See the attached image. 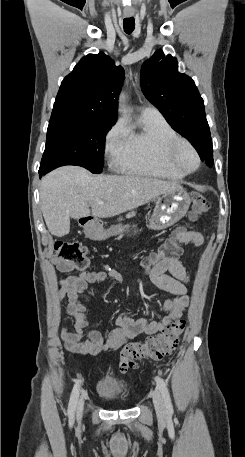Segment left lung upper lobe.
I'll return each mask as SVG.
<instances>
[{"label": "left lung upper lobe", "instance_id": "5c2ea615", "mask_svg": "<svg viewBox=\"0 0 245 457\" xmlns=\"http://www.w3.org/2000/svg\"><path fill=\"white\" fill-rule=\"evenodd\" d=\"M140 84L146 98L196 149L211 138L203 99L194 81L178 72L176 58L157 50L143 63Z\"/></svg>", "mask_w": 245, "mask_h": 457}]
</instances>
